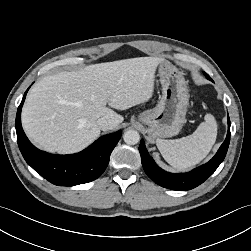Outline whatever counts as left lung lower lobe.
Masks as SVG:
<instances>
[{"instance_id":"0a47b994","label":"left lung lower lobe","mask_w":251,"mask_h":251,"mask_svg":"<svg viewBox=\"0 0 251 251\" xmlns=\"http://www.w3.org/2000/svg\"><path fill=\"white\" fill-rule=\"evenodd\" d=\"M230 142V119L228 116V133L224 143L215 156L206 164L187 173L173 174L162 170L148 154L143 140L140 142L139 152L142 166L146 174L156 184L177 191H186L202 184L224 160Z\"/></svg>"}]
</instances>
